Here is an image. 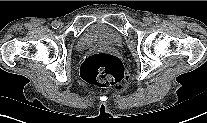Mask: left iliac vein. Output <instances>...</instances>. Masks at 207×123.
Listing matches in <instances>:
<instances>
[{"label": "left iliac vein", "instance_id": "1", "mask_svg": "<svg viewBox=\"0 0 207 123\" xmlns=\"http://www.w3.org/2000/svg\"><path fill=\"white\" fill-rule=\"evenodd\" d=\"M143 21H144L146 24H150L152 20H151L150 18L145 17V18L143 19Z\"/></svg>", "mask_w": 207, "mask_h": 123}]
</instances>
